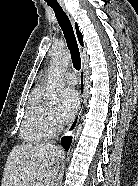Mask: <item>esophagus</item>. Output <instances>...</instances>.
<instances>
[{"mask_svg": "<svg viewBox=\"0 0 138 186\" xmlns=\"http://www.w3.org/2000/svg\"><path fill=\"white\" fill-rule=\"evenodd\" d=\"M60 4H61L62 8L65 9V6H64L63 2H60ZM79 92H80L79 108H78V111H77L75 117L73 118V120L71 121V123L69 124L67 129L65 130V132H64L65 136L71 134L75 130V128L77 127V125L79 123V120H80V118L82 116L85 103H86V96H85V70L84 69H82L81 72H80Z\"/></svg>", "mask_w": 138, "mask_h": 186, "instance_id": "1", "label": "esophagus"}]
</instances>
